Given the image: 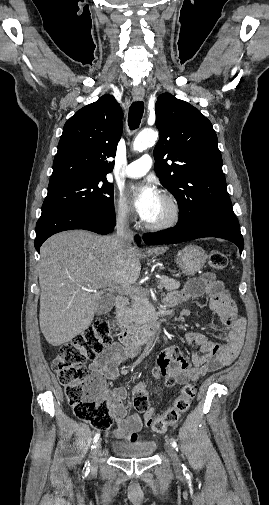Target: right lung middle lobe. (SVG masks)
Segmentation results:
<instances>
[{"mask_svg":"<svg viewBox=\"0 0 269 505\" xmlns=\"http://www.w3.org/2000/svg\"><path fill=\"white\" fill-rule=\"evenodd\" d=\"M114 188L107 179H96L48 188L42 211L72 207L109 222L115 221Z\"/></svg>","mask_w":269,"mask_h":505,"instance_id":"1","label":"right lung middle lobe"}]
</instances>
